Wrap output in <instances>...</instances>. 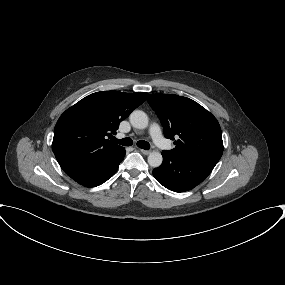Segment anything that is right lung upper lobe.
I'll list each match as a JSON object with an SVG mask.
<instances>
[{
    "mask_svg": "<svg viewBox=\"0 0 285 285\" xmlns=\"http://www.w3.org/2000/svg\"><path fill=\"white\" fill-rule=\"evenodd\" d=\"M147 93L102 91L86 96L66 110L54 128L52 150L56 158L81 153L97 157L123 149L106 136L146 100Z\"/></svg>",
    "mask_w": 285,
    "mask_h": 285,
    "instance_id": "obj_1",
    "label": "right lung upper lobe"
}]
</instances>
